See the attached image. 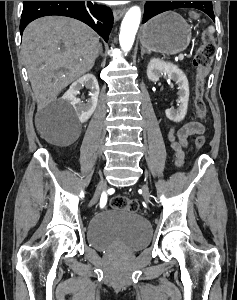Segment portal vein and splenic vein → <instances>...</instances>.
I'll return each instance as SVG.
<instances>
[{
	"instance_id": "obj_1",
	"label": "portal vein and splenic vein",
	"mask_w": 237,
	"mask_h": 300,
	"mask_svg": "<svg viewBox=\"0 0 237 300\" xmlns=\"http://www.w3.org/2000/svg\"><path fill=\"white\" fill-rule=\"evenodd\" d=\"M181 54H182V53H181ZM181 54H180V55H181ZM183 58H184V57L181 55V56H179V59H178V60L181 62V61L183 60Z\"/></svg>"
}]
</instances>
